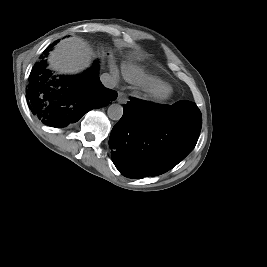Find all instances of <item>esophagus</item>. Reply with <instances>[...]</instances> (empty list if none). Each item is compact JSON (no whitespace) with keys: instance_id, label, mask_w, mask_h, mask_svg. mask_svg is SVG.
<instances>
[{"instance_id":"obj_1","label":"esophagus","mask_w":267,"mask_h":267,"mask_svg":"<svg viewBox=\"0 0 267 267\" xmlns=\"http://www.w3.org/2000/svg\"><path fill=\"white\" fill-rule=\"evenodd\" d=\"M128 101L127 95L125 93L120 92L117 97V102L120 104H126Z\"/></svg>"}]
</instances>
